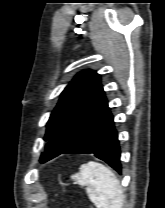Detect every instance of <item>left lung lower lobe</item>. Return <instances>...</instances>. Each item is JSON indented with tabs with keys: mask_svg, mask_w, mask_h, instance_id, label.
<instances>
[{
	"mask_svg": "<svg viewBox=\"0 0 165 208\" xmlns=\"http://www.w3.org/2000/svg\"><path fill=\"white\" fill-rule=\"evenodd\" d=\"M66 153L94 154L121 174L118 134L107 102L81 127Z\"/></svg>",
	"mask_w": 165,
	"mask_h": 208,
	"instance_id": "1",
	"label": "left lung lower lobe"
}]
</instances>
